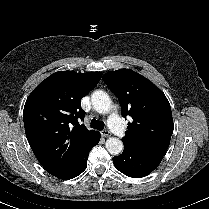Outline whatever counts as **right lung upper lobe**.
<instances>
[{
    "instance_id": "right-lung-upper-lobe-1",
    "label": "right lung upper lobe",
    "mask_w": 209,
    "mask_h": 209,
    "mask_svg": "<svg viewBox=\"0 0 209 209\" xmlns=\"http://www.w3.org/2000/svg\"><path fill=\"white\" fill-rule=\"evenodd\" d=\"M101 73L60 71L42 81L29 95L23 110L27 140L38 161L56 176L68 167L98 132L78 120L85 112L81 98L93 90Z\"/></svg>"
}]
</instances>
